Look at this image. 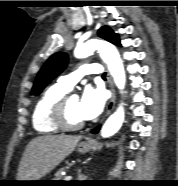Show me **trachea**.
Returning <instances> with one entry per match:
<instances>
[{
    "label": "trachea",
    "instance_id": "3493384b",
    "mask_svg": "<svg viewBox=\"0 0 178 186\" xmlns=\"http://www.w3.org/2000/svg\"><path fill=\"white\" fill-rule=\"evenodd\" d=\"M102 77L105 78L106 77V73H104Z\"/></svg>",
    "mask_w": 178,
    "mask_h": 186
}]
</instances>
